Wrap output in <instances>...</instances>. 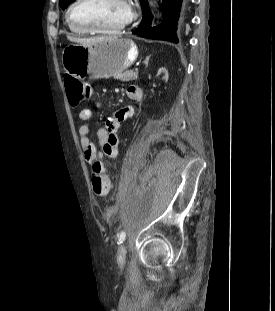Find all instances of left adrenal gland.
<instances>
[{
	"label": "left adrenal gland",
	"instance_id": "left-adrenal-gland-1",
	"mask_svg": "<svg viewBox=\"0 0 275 311\" xmlns=\"http://www.w3.org/2000/svg\"><path fill=\"white\" fill-rule=\"evenodd\" d=\"M149 59H150V56H147L146 59H145V61H144V64H145L146 66H148Z\"/></svg>",
	"mask_w": 275,
	"mask_h": 311
}]
</instances>
